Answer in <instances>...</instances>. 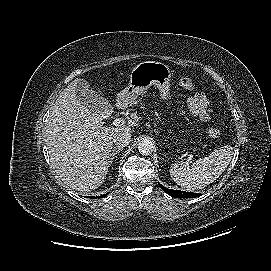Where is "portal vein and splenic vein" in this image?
Segmentation results:
<instances>
[{"mask_svg":"<svg viewBox=\"0 0 271 271\" xmlns=\"http://www.w3.org/2000/svg\"><path fill=\"white\" fill-rule=\"evenodd\" d=\"M112 124H113L114 126H121V125L124 124V120H123L122 118H117V119H115V120L112 122Z\"/></svg>","mask_w":271,"mask_h":271,"instance_id":"obj_1","label":"portal vein and splenic vein"}]
</instances>
